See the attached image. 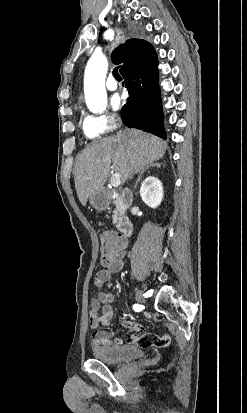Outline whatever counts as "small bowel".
Segmentation results:
<instances>
[{"mask_svg": "<svg viewBox=\"0 0 247 413\" xmlns=\"http://www.w3.org/2000/svg\"><path fill=\"white\" fill-rule=\"evenodd\" d=\"M126 245V244H125ZM125 246L117 251L112 260L105 264V267L99 270L94 277V286L97 288L95 296L91 300V308L89 311V326L94 330L93 343L95 346H102L104 349H109L112 344H122L121 339H112V331L107 328L114 316V295L106 291V287L111 286V276L119 272L124 266ZM146 317L149 314L145 313ZM127 325L130 326V323ZM101 326L105 328H100ZM134 329H128L124 340L128 343H133L135 338H141L134 342L136 349H166L167 342L172 341V336L167 334H147L142 322H135Z\"/></svg>", "mask_w": 247, "mask_h": 413, "instance_id": "obj_1", "label": "small bowel"}]
</instances>
